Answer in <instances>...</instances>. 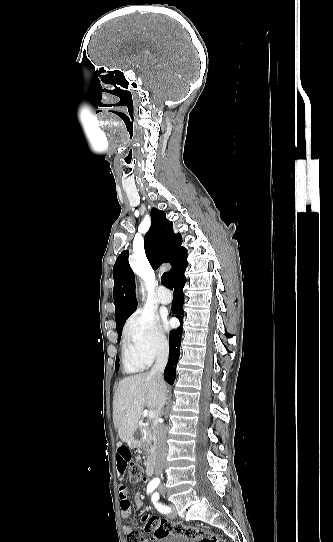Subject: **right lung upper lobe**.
<instances>
[{"label": "right lung upper lobe", "instance_id": "1", "mask_svg": "<svg viewBox=\"0 0 333 542\" xmlns=\"http://www.w3.org/2000/svg\"><path fill=\"white\" fill-rule=\"evenodd\" d=\"M151 222V227L144 237L145 253L150 265L157 269L162 263L173 264L178 253L184 249L181 246V235L173 232V223L159 209L152 208ZM128 256V250L123 251L113 268L116 328L137 307L135 277Z\"/></svg>", "mask_w": 333, "mask_h": 542}]
</instances>
